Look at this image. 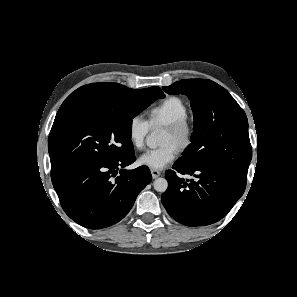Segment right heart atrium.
<instances>
[{
    "label": "right heart atrium",
    "mask_w": 297,
    "mask_h": 297,
    "mask_svg": "<svg viewBox=\"0 0 297 297\" xmlns=\"http://www.w3.org/2000/svg\"><path fill=\"white\" fill-rule=\"evenodd\" d=\"M149 129L150 125L148 121L140 115L130 118L127 125V134L131 144L135 148L142 149L144 147Z\"/></svg>",
    "instance_id": "right-heart-atrium-1"
}]
</instances>
